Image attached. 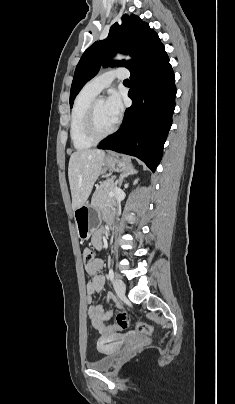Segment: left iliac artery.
Wrapping results in <instances>:
<instances>
[{
  "label": "left iliac artery",
  "instance_id": "1",
  "mask_svg": "<svg viewBox=\"0 0 235 404\" xmlns=\"http://www.w3.org/2000/svg\"><path fill=\"white\" fill-rule=\"evenodd\" d=\"M108 276H109V279H110L111 281H113V279H114V272H113V269H112V268L109 269V274H108Z\"/></svg>",
  "mask_w": 235,
  "mask_h": 404
}]
</instances>
